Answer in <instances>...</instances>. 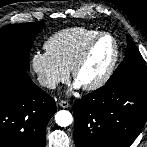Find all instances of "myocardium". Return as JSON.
<instances>
[{
	"mask_svg": "<svg viewBox=\"0 0 147 147\" xmlns=\"http://www.w3.org/2000/svg\"><path fill=\"white\" fill-rule=\"evenodd\" d=\"M104 37L110 38L113 42V45H114L113 57L111 59V62L108 68L106 69V71L103 73L102 76H100L97 80H95L94 82L90 84L81 85L82 88L86 91H94L103 87L112 77L118 63L119 56H120V47H119V43L117 39L109 32H99L87 42V44L84 46L83 50L77 57L76 61L74 62L71 69L73 79L77 82L78 73L80 69L82 68V66L84 65V63L87 61L93 47L100 39Z\"/></svg>",
	"mask_w": 147,
	"mask_h": 147,
	"instance_id": "1",
	"label": "myocardium"
}]
</instances>
